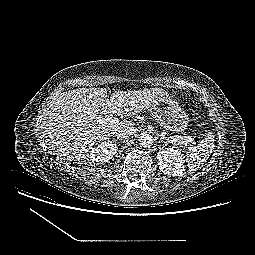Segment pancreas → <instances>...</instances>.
<instances>
[{
    "label": "pancreas",
    "mask_w": 255,
    "mask_h": 255,
    "mask_svg": "<svg viewBox=\"0 0 255 255\" xmlns=\"http://www.w3.org/2000/svg\"><path fill=\"white\" fill-rule=\"evenodd\" d=\"M168 140L178 142L180 145H183V146H188V145H194L195 144V140L191 136L176 135V136L169 137Z\"/></svg>",
    "instance_id": "cf45deb5"
}]
</instances>
